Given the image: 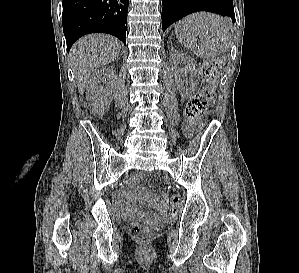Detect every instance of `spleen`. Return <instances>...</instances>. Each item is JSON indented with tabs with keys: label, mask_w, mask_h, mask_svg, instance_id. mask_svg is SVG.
Returning <instances> with one entry per match:
<instances>
[{
	"label": "spleen",
	"mask_w": 299,
	"mask_h": 273,
	"mask_svg": "<svg viewBox=\"0 0 299 273\" xmlns=\"http://www.w3.org/2000/svg\"><path fill=\"white\" fill-rule=\"evenodd\" d=\"M229 21L211 13H194L175 25L180 43L199 58H216L224 55L231 44ZM200 43V44H199Z\"/></svg>",
	"instance_id": "3e777b00"
}]
</instances>
